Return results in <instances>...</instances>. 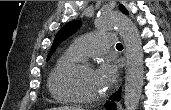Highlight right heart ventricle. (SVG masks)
<instances>
[{
  "label": "right heart ventricle",
  "mask_w": 171,
  "mask_h": 110,
  "mask_svg": "<svg viewBox=\"0 0 171 110\" xmlns=\"http://www.w3.org/2000/svg\"><path fill=\"white\" fill-rule=\"evenodd\" d=\"M83 59L72 47H69L57 58L47 79L49 92L56 101L60 103L75 101L62 87L61 75L68 66Z\"/></svg>",
  "instance_id": "1"
}]
</instances>
